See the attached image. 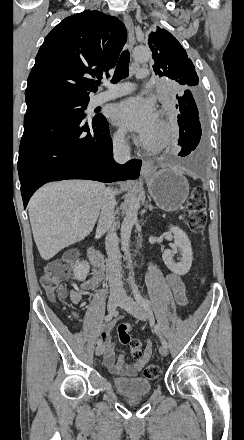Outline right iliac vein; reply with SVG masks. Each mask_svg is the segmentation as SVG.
Returning <instances> with one entry per match:
<instances>
[{
	"mask_svg": "<svg viewBox=\"0 0 244 440\" xmlns=\"http://www.w3.org/2000/svg\"><path fill=\"white\" fill-rule=\"evenodd\" d=\"M107 304H108L109 312L113 313L115 311L116 307L120 304V299L116 294L110 295L108 298ZM104 349H105L104 344L98 345L95 350L96 355L97 356L102 355L104 352Z\"/></svg>",
	"mask_w": 244,
	"mask_h": 440,
	"instance_id": "obj_1",
	"label": "right iliac vein"
}]
</instances>
